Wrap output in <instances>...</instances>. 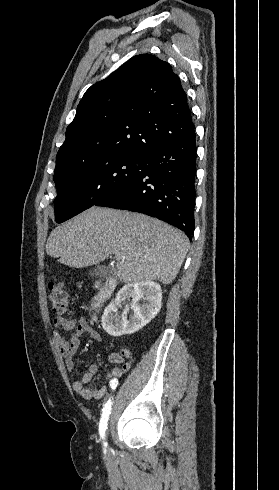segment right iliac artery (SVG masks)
Returning a JSON list of instances; mask_svg holds the SVG:
<instances>
[{
  "label": "right iliac artery",
  "instance_id": "obj_1",
  "mask_svg": "<svg viewBox=\"0 0 279 490\" xmlns=\"http://www.w3.org/2000/svg\"><path fill=\"white\" fill-rule=\"evenodd\" d=\"M112 382L110 383V388L111 390H116L117 386L120 384V381L117 379V377H112ZM111 405H112V402H111V399H109L107 401V403L104 405V408H103V413H102V416H101V419H100V423H99V433H100V436L102 439L105 438V431L107 429V422H108V419H109V415H110V412H111ZM104 446H107V443L104 442Z\"/></svg>",
  "mask_w": 279,
  "mask_h": 490
}]
</instances>
